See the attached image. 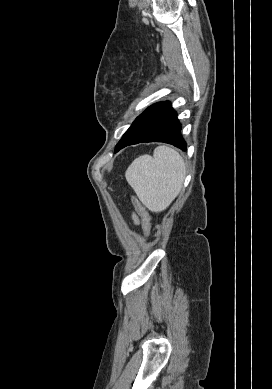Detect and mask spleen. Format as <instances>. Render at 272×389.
<instances>
[{"label":"spleen","mask_w":272,"mask_h":389,"mask_svg":"<svg viewBox=\"0 0 272 389\" xmlns=\"http://www.w3.org/2000/svg\"><path fill=\"white\" fill-rule=\"evenodd\" d=\"M185 163L180 154L159 146L153 157L136 158L125 172L129 185L152 212L165 210L179 194L185 178Z\"/></svg>","instance_id":"spleen-1"}]
</instances>
